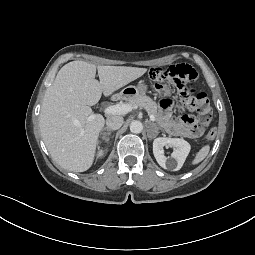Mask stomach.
Wrapping results in <instances>:
<instances>
[{"mask_svg":"<svg viewBox=\"0 0 255 255\" xmlns=\"http://www.w3.org/2000/svg\"><path fill=\"white\" fill-rule=\"evenodd\" d=\"M148 89V86L144 82H139L136 86H128L124 88L120 95L123 98H133L140 95H144Z\"/></svg>","mask_w":255,"mask_h":255,"instance_id":"1","label":"stomach"}]
</instances>
